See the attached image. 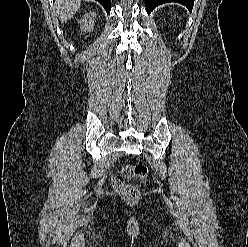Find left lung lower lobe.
I'll list each match as a JSON object with an SVG mask.
<instances>
[{
	"mask_svg": "<svg viewBox=\"0 0 248 247\" xmlns=\"http://www.w3.org/2000/svg\"><path fill=\"white\" fill-rule=\"evenodd\" d=\"M177 2L185 5L189 10H192L194 0H145L147 13L150 14L153 9L163 3Z\"/></svg>",
	"mask_w": 248,
	"mask_h": 247,
	"instance_id": "obj_1",
	"label": "left lung lower lobe"
}]
</instances>
